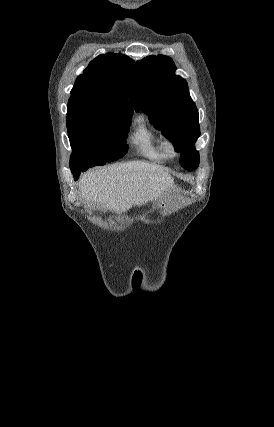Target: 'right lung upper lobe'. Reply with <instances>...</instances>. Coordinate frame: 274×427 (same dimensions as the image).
Listing matches in <instances>:
<instances>
[{
	"label": "right lung upper lobe",
	"mask_w": 274,
	"mask_h": 427,
	"mask_svg": "<svg viewBox=\"0 0 274 427\" xmlns=\"http://www.w3.org/2000/svg\"><path fill=\"white\" fill-rule=\"evenodd\" d=\"M133 65L134 61L123 54L107 53L96 57L76 79L68 111L92 107L132 109L127 84Z\"/></svg>",
	"instance_id": "1"
}]
</instances>
